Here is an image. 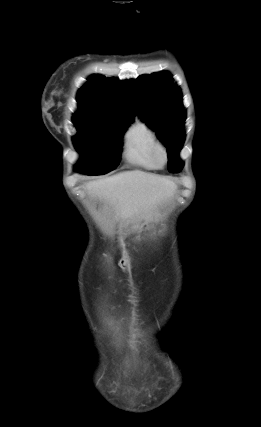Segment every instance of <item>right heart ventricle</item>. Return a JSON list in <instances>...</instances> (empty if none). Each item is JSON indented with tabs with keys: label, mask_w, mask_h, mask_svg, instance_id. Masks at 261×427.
<instances>
[{
	"label": "right heart ventricle",
	"mask_w": 261,
	"mask_h": 427,
	"mask_svg": "<svg viewBox=\"0 0 261 427\" xmlns=\"http://www.w3.org/2000/svg\"><path fill=\"white\" fill-rule=\"evenodd\" d=\"M159 142L153 128L144 120L133 123L122 137V156L125 161L136 168L156 170L153 150Z\"/></svg>",
	"instance_id": "e07e8e85"
}]
</instances>
